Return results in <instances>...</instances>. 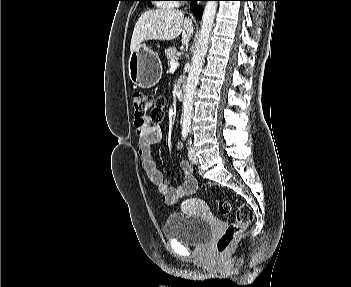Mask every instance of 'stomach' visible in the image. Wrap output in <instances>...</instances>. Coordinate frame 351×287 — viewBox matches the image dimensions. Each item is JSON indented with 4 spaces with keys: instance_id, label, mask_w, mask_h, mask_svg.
<instances>
[{
    "instance_id": "1",
    "label": "stomach",
    "mask_w": 351,
    "mask_h": 287,
    "mask_svg": "<svg viewBox=\"0 0 351 287\" xmlns=\"http://www.w3.org/2000/svg\"><path fill=\"white\" fill-rule=\"evenodd\" d=\"M130 80L141 88L155 86L162 76V64L157 53L144 45L130 54L128 61Z\"/></svg>"
}]
</instances>
